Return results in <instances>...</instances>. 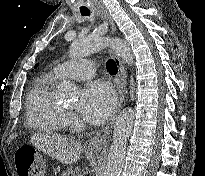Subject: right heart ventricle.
I'll return each mask as SVG.
<instances>
[{"label":"right heart ventricle","mask_w":205,"mask_h":176,"mask_svg":"<svg viewBox=\"0 0 205 176\" xmlns=\"http://www.w3.org/2000/svg\"><path fill=\"white\" fill-rule=\"evenodd\" d=\"M57 80L54 73L38 76L26 97L27 124L31 129L49 135H60L66 123V113L52 95Z\"/></svg>","instance_id":"obj_1"}]
</instances>
